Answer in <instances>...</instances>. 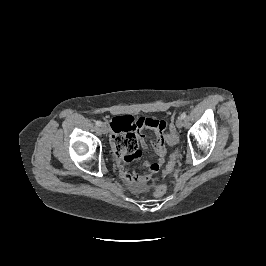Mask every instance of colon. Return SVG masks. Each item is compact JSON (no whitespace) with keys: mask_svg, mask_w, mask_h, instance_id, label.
Wrapping results in <instances>:
<instances>
[{"mask_svg":"<svg viewBox=\"0 0 266 266\" xmlns=\"http://www.w3.org/2000/svg\"><path fill=\"white\" fill-rule=\"evenodd\" d=\"M170 141L172 144L176 143V135L173 130H170ZM176 160V154H173L167 164L165 172L168 173L172 170ZM167 188L165 185H158L154 188L153 194L155 197H162L165 195Z\"/></svg>","mask_w":266,"mask_h":266,"instance_id":"5ec220e1","label":"colon"}]
</instances>
